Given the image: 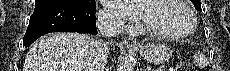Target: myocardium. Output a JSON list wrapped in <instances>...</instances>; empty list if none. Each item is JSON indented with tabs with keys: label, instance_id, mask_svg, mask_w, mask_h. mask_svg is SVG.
Masks as SVG:
<instances>
[{
	"label": "myocardium",
	"instance_id": "obj_1",
	"mask_svg": "<svg viewBox=\"0 0 230 71\" xmlns=\"http://www.w3.org/2000/svg\"><path fill=\"white\" fill-rule=\"evenodd\" d=\"M175 1L186 10V12L190 17L191 25L186 31L178 34L160 32L151 28L148 24L144 22V20L139 24L138 27H135V29H138L140 32L146 33L149 36L160 40H182L189 37L191 34L194 33V31L197 28V17L194 11L192 10V8L187 4L186 1L183 0H175Z\"/></svg>",
	"mask_w": 230,
	"mask_h": 71
}]
</instances>
